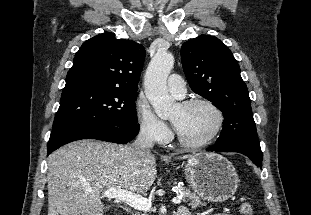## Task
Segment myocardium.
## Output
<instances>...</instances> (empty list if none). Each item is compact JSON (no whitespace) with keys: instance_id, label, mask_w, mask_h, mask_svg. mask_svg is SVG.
Instances as JSON below:
<instances>
[{"instance_id":"myocardium-1","label":"myocardium","mask_w":311,"mask_h":215,"mask_svg":"<svg viewBox=\"0 0 311 215\" xmlns=\"http://www.w3.org/2000/svg\"><path fill=\"white\" fill-rule=\"evenodd\" d=\"M179 105L182 108H189L194 105H205L209 107L215 113L216 118H217L216 125L213 131L205 139L201 141H198V142L187 141L184 138H182L180 134L177 132V141L183 147L190 148V149H198V148L205 147L206 145L210 144L221 132L223 125H224L225 117H224L222 110L211 100L206 99V98L196 97V98H190V99L183 100L179 103Z\"/></svg>"}]
</instances>
